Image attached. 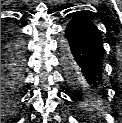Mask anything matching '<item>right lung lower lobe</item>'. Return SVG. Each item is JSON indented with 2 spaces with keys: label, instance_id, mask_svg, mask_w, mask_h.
<instances>
[{
  "label": "right lung lower lobe",
  "instance_id": "obj_1",
  "mask_svg": "<svg viewBox=\"0 0 122 123\" xmlns=\"http://www.w3.org/2000/svg\"><path fill=\"white\" fill-rule=\"evenodd\" d=\"M24 44L19 35L1 27V95L14 99L23 79Z\"/></svg>",
  "mask_w": 122,
  "mask_h": 123
}]
</instances>
